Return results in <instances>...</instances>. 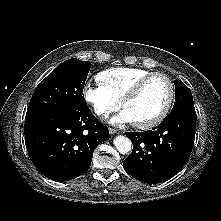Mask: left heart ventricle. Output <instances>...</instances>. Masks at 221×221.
Instances as JSON below:
<instances>
[{"instance_id":"1","label":"left heart ventricle","mask_w":221,"mask_h":221,"mask_svg":"<svg viewBox=\"0 0 221 221\" xmlns=\"http://www.w3.org/2000/svg\"><path fill=\"white\" fill-rule=\"evenodd\" d=\"M168 96L169 86L166 80L155 77L146 83L140 94L125 109L131 114L133 122H146L160 113Z\"/></svg>"}]
</instances>
